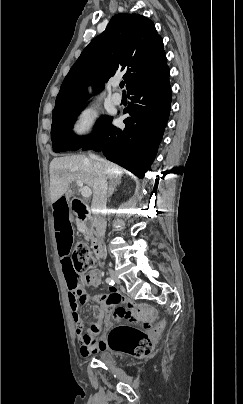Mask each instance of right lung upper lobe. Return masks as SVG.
Wrapping results in <instances>:
<instances>
[{"label": "right lung upper lobe", "mask_w": 243, "mask_h": 404, "mask_svg": "<svg viewBox=\"0 0 243 404\" xmlns=\"http://www.w3.org/2000/svg\"><path fill=\"white\" fill-rule=\"evenodd\" d=\"M163 40L153 22L139 14L113 16L105 31L82 51L65 77L56 98L52 115L83 105L88 99L86 86L96 91L119 72L127 90L166 65Z\"/></svg>", "instance_id": "right-lung-upper-lobe-1"}]
</instances>
